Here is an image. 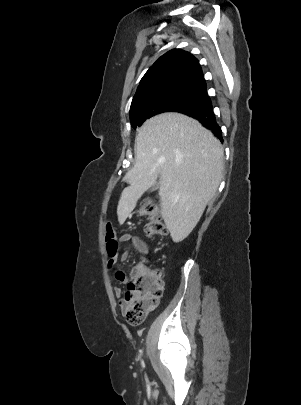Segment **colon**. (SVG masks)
Segmentation results:
<instances>
[{
	"label": "colon",
	"mask_w": 301,
	"mask_h": 405,
	"mask_svg": "<svg viewBox=\"0 0 301 405\" xmlns=\"http://www.w3.org/2000/svg\"><path fill=\"white\" fill-rule=\"evenodd\" d=\"M139 213L146 216L144 233L148 238H162L168 230L161 211L150 201L141 204ZM105 241L109 256L118 251L115 230L110 222L105 225ZM162 295V278L159 272L144 264L137 265L131 272L130 280L120 302L121 310L132 326L140 325L148 312L158 303Z\"/></svg>",
	"instance_id": "1"
}]
</instances>
